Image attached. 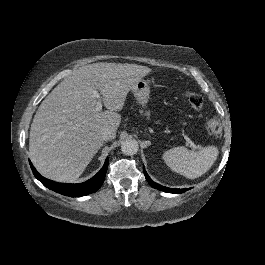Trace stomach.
<instances>
[{"instance_id": "stomach-1", "label": "stomach", "mask_w": 265, "mask_h": 265, "mask_svg": "<svg viewBox=\"0 0 265 265\" xmlns=\"http://www.w3.org/2000/svg\"><path fill=\"white\" fill-rule=\"evenodd\" d=\"M131 93L138 102L144 104L149 97V85L143 79L137 80L131 87Z\"/></svg>"}]
</instances>
